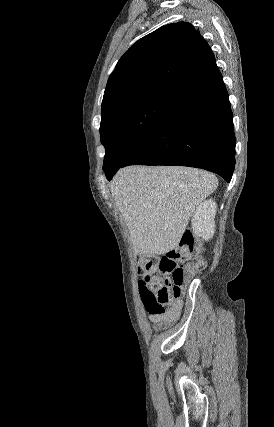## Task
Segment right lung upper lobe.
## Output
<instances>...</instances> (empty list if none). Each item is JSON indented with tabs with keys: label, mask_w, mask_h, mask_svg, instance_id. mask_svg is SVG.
I'll use <instances>...</instances> for the list:
<instances>
[{
	"label": "right lung upper lobe",
	"mask_w": 274,
	"mask_h": 427,
	"mask_svg": "<svg viewBox=\"0 0 274 427\" xmlns=\"http://www.w3.org/2000/svg\"><path fill=\"white\" fill-rule=\"evenodd\" d=\"M220 73L205 39L187 22L171 23L133 44L110 75L102 113L150 94L179 98Z\"/></svg>",
	"instance_id": "cb5924a9"
}]
</instances>
